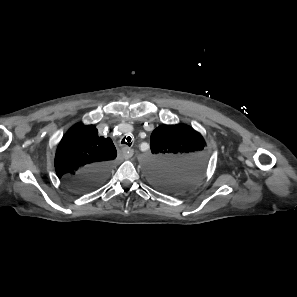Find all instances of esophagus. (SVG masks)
I'll return each mask as SVG.
<instances>
[{"label": "esophagus", "mask_w": 297, "mask_h": 297, "mask_svg": "<svg viewBox=\"0 0 297 297\" xmlns=\"http://www.w3.org/2000/svg\"><path fill=\"white\" fill-rule=\"evenodd\" d=\"M122 153H123V156H124L125 159H129V158H131L133 156L134 151H133V149L125 146V147L122 148Z\"/></svg>", "instance_id": "34e87169"}]
</instances>
